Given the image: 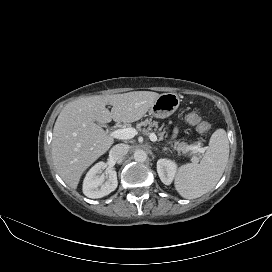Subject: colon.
Listing matches in <instances>:
<instances>
[{
    "mask_svg": "<svg viewBox=\"0 0 272 272\" xmlns=\"http://www.w3.org/2000/svg\"><path fill=\"white\" fill-rule=\"evenodd\" d=\"M187 121L190 124L197 125V129L200 133L204 134L210 130V125L204 120L202 114L198 112H191L187 115Z\"/></svg>",
    "mask_w": 272,
    "mask_h": 272,
    "instance_id": "1",
    "label": "colon"
}]
</instances>
